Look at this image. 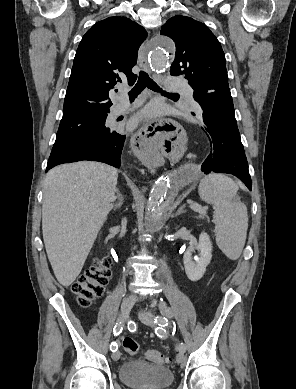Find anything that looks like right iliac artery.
<instances>
[{
  "label": "right iliac artery",
  "mask_w": 296,
  "mask_h": 389,
  "mask_svg": "<svg viewBox=\"0 0 296 389\" xmlns=\"http://www.w3.org/2000/svg\"><path fill=\"white\" fill-rule=\"evenodd\" d=\"M122 329H123L122 323L121 322L116 323V325H115V327L113 329L114 330V335L115 336L119 335L122 332ZM110 349H111L112 352L117 351V349H118L117 343L116 342L111 343Z\"/></svg>",
  "instance_id": "right-iliac-artery-1"
}]
</instances>
